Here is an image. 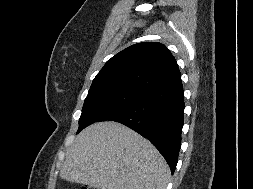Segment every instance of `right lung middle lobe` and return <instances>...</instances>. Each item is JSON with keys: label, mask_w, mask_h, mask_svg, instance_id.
<instances>
[{"label": "right lung middle lobe", "mask_w": 253, "mask_h": 189, "mask_svg": "<svg viewBox=\"0 0 253 189\" xmlns=\"http://www.w3.org/2000/svg\"><path fill=\"white\" fill-rule=\"evenodd\" d=\"M148 91L128 86H108L89 90L84 101L77 133L142 98Z\"/></svg>", "instance_id": "1"}]
</instances>
